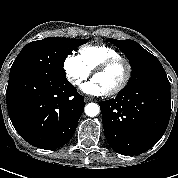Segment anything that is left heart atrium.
Returning a JSON list of instances; mask_svg holds the SVG:
<instances>
[{"label": "left heart atrium", "instance_id": "obj_1", "mask_svg": "<svg viewBox=\"0 0 178 178\" xmlns=\"http://www.w3.org/2000/svg\"><path fill=\"white\" fill-rule=\"evenodd\" d=\"M81 89L85 94L92 96H100L106 93L104 88L94 79L85 83Z\"/></svg>", "mask_w": 178, "mask_h": 178}]
</instances>
